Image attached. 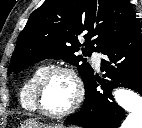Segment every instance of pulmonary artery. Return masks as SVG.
I'll return each instance as SVG.
<instances>
[{
    "label": "pulmonary artery",
    "instance_id": "1",
    "mask_svg": "<svg viewBox=\"0 0 142 128\" xmlns=\"http://www.w3.org/2000/svg\"><path fill=\"white\" fill-rule=\"evenodd\" d=\"M100 62H101V59H100V54L97 53V52H93L92 53V63L93 65L99 69L100 67Z\"/></svg>",
    "mask_w": 142,
    "mask_h": 128
}]
</instances>
